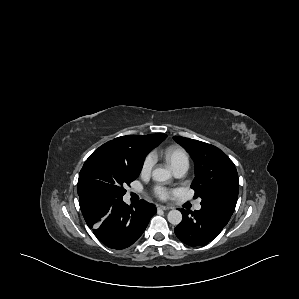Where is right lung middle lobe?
<instances>
[{"instance_id":"obj_1","label":"right lung middle lobe","mask_w":299,"mask_h":299,"mask_svg":"<svg viewBox=\"0 0 299 299\" xmlns=\"http://www.w3.org/2000/svg\"><path fill=\"white\" fill-rule=\"evenodd\" d=\"M142 167L125 163L103 145L85 161L78 179V195L100 194L121 198L140 174Z\"/></svg>"}]
</instances>
